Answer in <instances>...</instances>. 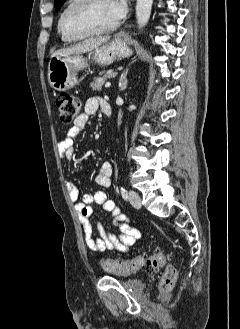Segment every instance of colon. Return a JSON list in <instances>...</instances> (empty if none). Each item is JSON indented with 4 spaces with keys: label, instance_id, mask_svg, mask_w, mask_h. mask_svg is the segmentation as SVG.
<instances>
[{
    "label": "colon",
    "instance_id": "colon-1",
    "mask_svg": "<svg viewBox=\"0 0 240 329\" xmlns=\"http://www.w3.org/2000/svg\"><path fill=\"white\" fill-rule=\"evenodd\" d=\"M58 109L59 120L63 124L73 123L81 115V100L70 94H60L55 101ZM169 254L164 251H157L148 255H140L131 260H102V268L110 273L127 275L140 269L154 272L166 265ZM178 277L177 269L173 266H167L162 276L159 290L161 300L168 301Z\"/></svg>",
    "mask_w": 240,
    "mask_h": 329
}]
</instances>
